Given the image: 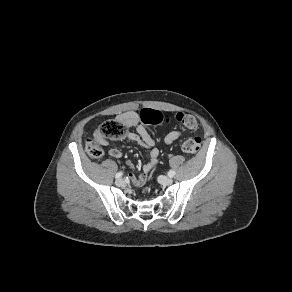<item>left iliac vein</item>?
Wrapping results in <instances>:
<instances>
[{"label": "left iliac vein", "mask_w": 292, "mask_h": 292, "mask_svg": "<svg viewBox=\"0 0 292 292\" xmlns=\"http://www.w3.org/2000/svg\"><path fill=\"white\" fill-rule=\"evenodd\" d=\"M158 181L162 185H171L173 183L172 178L166 177V176H159Z\"/></svg>", "instance_id": "obj_1"}]
</instances>
